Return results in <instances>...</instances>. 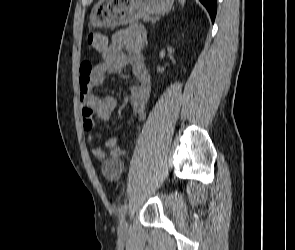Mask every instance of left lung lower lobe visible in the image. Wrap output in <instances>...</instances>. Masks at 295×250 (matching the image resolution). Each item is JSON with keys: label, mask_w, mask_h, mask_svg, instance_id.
I'll return each mask as SVG.
<instances>
[{"label": "left lung lower lobe", "mask_w": 295, "mask_h": 250, "mask_svg": "<svg viewBox=\"0 0 295 250\" xmlns=\"http://www.w3.org/2000/svg\"><path fill=\"white\" fill-rule=\"evenodd\" d=\"M200 2L206 7L212 22H214L216 16L217 0H200Z\"/></svg>", "instance_id": "1"}]
</instances>
